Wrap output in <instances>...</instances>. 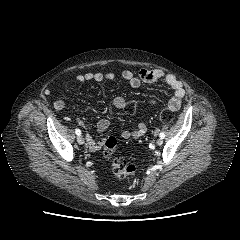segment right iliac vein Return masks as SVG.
<instances>
[{"instance_id": "right-iliac-vein-1", "label": "right iliac vein", "mask_w": 240, "mask_h": 240, "mask_svg": "<svg viewBox=\"0 0 240 240\" xmlns=\"http://www.w3.org/2000/svg\"><path fill=\"white\" fill-rule=\"evenodd\" d=\"M77 142L81 145L84 144V138L81 135H78Z\"/></svg>"}]
</instances>
